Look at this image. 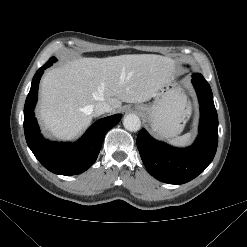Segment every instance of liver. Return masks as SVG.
Masks as SVG:
<instances>
[{
    "label": "liver",
    "mask_w": 247,
    "mask_h": 247,
    "mask_svg": "<svg viewBox=\"0 0 247 247\" xmlns=\"http://www.w3.org/2000/svg\"><path fill=\"white\" fill-rule=\"evenodd\" d=\"M174 61L154 54L80 58L51 69L41 82L39 116L44 129L60 140L78 136L92 121L90 107L142 103L155 97Z\"/></svg>",
    "instance_id": "obj_1"
}]
</instances>
